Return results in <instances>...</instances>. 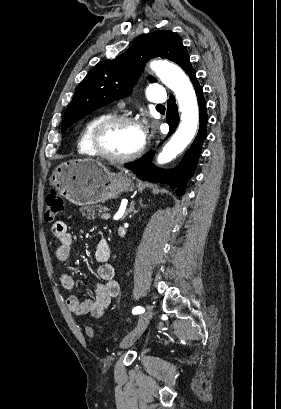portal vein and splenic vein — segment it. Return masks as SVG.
I'll return each mask as SVG.
<instances>
[{"mask_svg":"<svg viewBox=\"0 0 281 409\" xmlns=\"http://www.w3.org/2000/svg\"><path fill=\"white\" fill-rule=\"evenodd\" d=\"M100 219H101V220L110 219V217H109V215H108L107 212H102V213H101V216H100ZM117 220H119V219H117Z\"/></svg>","mask_w":281,"mask_h":409,"instance_id":"portal-vein-and-splenic-vein-1","label":"portal vein and splenic vein"}]
</instances>
